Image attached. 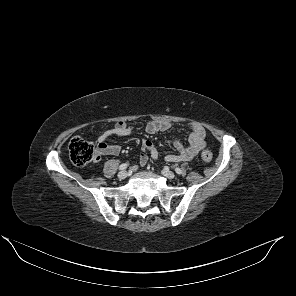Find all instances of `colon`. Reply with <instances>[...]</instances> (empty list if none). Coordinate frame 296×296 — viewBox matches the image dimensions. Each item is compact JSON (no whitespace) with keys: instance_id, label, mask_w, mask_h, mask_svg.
<instances>
[{"instance_id":"5ec220e1","label":"colon","mask_w":296,"mask_h":296,"mask_svg":"<svg viewBox=\"0 0 296 296\" xmlns=\"http://www.w3.org/2000/svg\"><path fill=\"white\" fill-rule=\"evenodd\" d=\"M68 151L71 162L78 167H83L98 157L96 146L80 137H74L70 140ZM201 157L203 161L210 162L212 153L203 151Z\"/></svg>"}]
</instances>
